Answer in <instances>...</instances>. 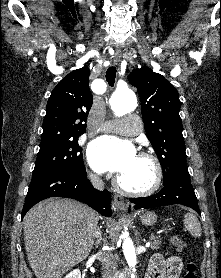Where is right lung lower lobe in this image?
I'll use <instances>...</instances> for the list:
<instances>
[{
  "mask_svg": "<svg viewBox=\"0 0 221 278\" xmlns=\"http://www.w3.org/2000/svg\"><path fill=\"white\" fill-rule=\"evenodd\" d=\"M82 173L60 172L49 175L28 189L21 217L39 201L49 197H68L84 202L104 216L111 215V197L108 191L99 192Z\"/></svg>",
  "mask_w": 221,
  "mask_h": 278,
  "instance_id": "98d812e1",
  "label": "right lung lower lobe"
}]
</instances>
